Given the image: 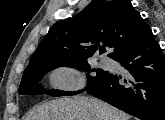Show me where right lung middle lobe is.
Listing matches in <instances>:
<instances>
[{
    "label": "right lung middle lobe",
    "mask_w": 165,
    "mask_h": 120,
    "mask_svg": "<svg viewBox=\"0 0 165 120\" xmlns=\"http://www.w3.org/2000/svg\"><path fill=\"white\" fill-rule=\"evenodd\" d=\"M67 66L77 68L79 70L96 72L95 76L87 75L88 87L92 86L96 82L105 78L109 72L102 69H91L88 63V58L84 59H57V60H44L38 63L30 64L24 71L20 87L18 90L19 94H37L41 92V86L38 82L41 80L43 75L57 67ZM83 90L78 91L81 93ZM50 95L54 97L74 95L76 92H66L54 90L49 92Z\"/></svg>",
    "instance_id": "right-lung-middle-lobe-1"
}]
</instances>
